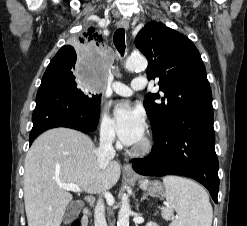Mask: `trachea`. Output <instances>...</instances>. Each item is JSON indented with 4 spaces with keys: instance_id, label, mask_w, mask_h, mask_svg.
Here are the masks:
<instances>
[{
    "instance_id": "3493384b",
    "label": "trachea",
    "mask_w": 247,
    "mask_h": 226,
    "mask_svg": "<svg viewBox=\"0 0 247 226\" xmlns=\"http://www.w3.org/2000/svg\"><path fill=\"white\" fill-rule=\"evenodd\" d=\"M113 42L117 50L124 55L125 52V30L123 28H119L115 31L113 36Z\"/></svg>"
}]
</instances>
